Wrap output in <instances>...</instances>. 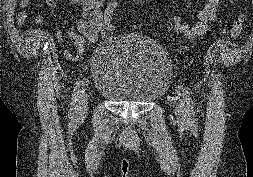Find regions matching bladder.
Returning a JSON list of instances; mask_svg holds the SVG:
<instances>
[{"instance_id": "31cf9c89", "label": "bladder", "mask_w": 253, "mask_h": 177, "mask_svg": "<svg viewBox=\"0 0 253 177\" xmlns=\"http://www.w3.org/2000/svg\"><path fill=\"white\" fill-rule=\"evenodd\" d=\"M95 92L115 103H150L167 90L172 65L156 41L127 34L107 37L91 61Z\"/></svg>"}]
</instances>
